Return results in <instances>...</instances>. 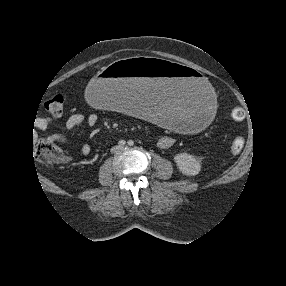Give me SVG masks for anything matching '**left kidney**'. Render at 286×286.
Returning a JSON list of instances; mask_svg holds the SVG:
<instances>
[{
	"mask_svg": "<svg viewBox=\"0 0 286 286\" xmlns=\"http://www.w3.org/2000/svg\"><path fill=\"white\" fill-rule=\"evenodd\" d=\"M174 161L179 171L182 172L184 175L194 176L200 172V162L193 155H190L188 153L176 154L174 156Z\"/></svg>",
	"mask_w": 286,
	"mask_h": 286,
	"instance_id": "obj_1",
	"label": "left kidney"
}]
</instances>
